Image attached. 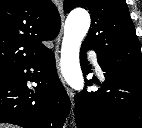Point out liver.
<instances>
[{
  "mask_svg": "<svg viewBox=\"0 0 142 128\" xmlns=\"http://www.w3.org/2000/svg\"><path fill=\"white\" fill-rule=\"evenodd\" d=\"M0 128H14V127H10L8 125H0Z\"/></svg>",
  "mask_w": 142,
  "mask_h": 128,
  "instance_id": "liver-1",
  "label": "liver"
}]
</instances>
